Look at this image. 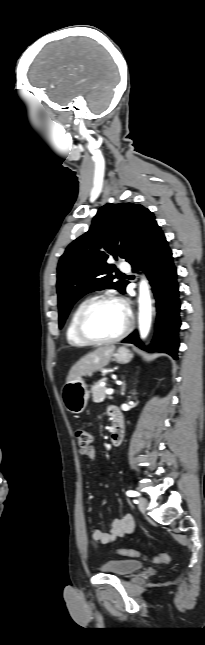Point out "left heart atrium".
I'll use <instances>...</instances> for the list:
<instances>
[{
	"instance_id": "obj_1",
	"label": "left heart atrium",
	"mask_w": 205,
	"mask_h": 645,
	"mask_svg": "<svg viewBox=\"0 0 205 645\" xmlns=\"http://www.w3.org/2000/svg\"><path fill=\"white\" fill-rule=\"evenodd\" d=\"M119 305L121 306V308H122L124 311H126V307H125V304H124L123 302H121V301H120V302H119Z\"/></svg>"
}]
</instances>
